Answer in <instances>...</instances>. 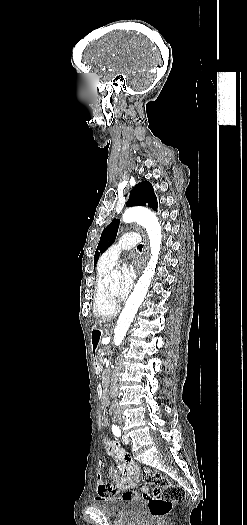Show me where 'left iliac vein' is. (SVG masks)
<instances>
[{
    "label": "left iliac vein",
    "mask_w": 247,
    "mask_h": 525,
    "mask_svg": "<svg viewBox=\"0 0 247 525\" xmlns=\"http://www.w3.org/2000/svg\"><path fill=\"white\" fill-rule=\"evenodd\" d=\"M122 440H123V442H124L125 444H129V442H130V439H129L126 435H123V436H122Z\"/></svg>",
    "instance_id": "left-iliac-vein-1"
}]
</instances>
